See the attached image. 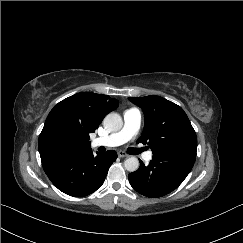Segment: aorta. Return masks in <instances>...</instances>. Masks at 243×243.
Masks as SVG:
<instances>
[{"mask_svg": "<svg viewBox=\"0 0 243 243\" xmlns=\"http://www.w3.org/2000/svg\"><path fill=\"white\" fill-rule=\"evenodd\" d=\"M104 128L109 132H117L123 126V120L117 113H109L103 121ZM124 167L129 172H135L139 168V161L136 157L131 156L124 161Z\"/></svg>", "mask_w": 243, "mask_h": 243, "instance_id": "1", "label": "aorta"}]
</instances>
